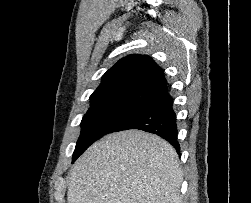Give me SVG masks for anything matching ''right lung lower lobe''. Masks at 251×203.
Listing matches in <instances>:
<instances>
[{
    "mask_svg": "<svg viewBox=\"0 0 251 203\" xmlns=\"http://www.w3.org/2000/svg\"><path fill=\"white\" fill-rule=\"evenodd\" d=\"M172 106L173 100L169 98L151 108L141 110L117 126L113 132L139 129L153 133L168 141L179 153L180 145L177 140L176 115Z\"/></svg>",
    "mask_w": 251,
    "mask_h": 203,
    "instance_id": "1",
    "label": "right lung lower lobe"
}]
</instances>
